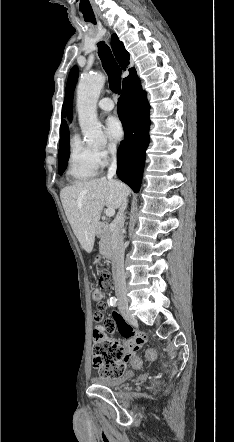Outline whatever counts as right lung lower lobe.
Here are the masks:
<instances>
[{
    "label": "right lung lower lobe",
    "instance_id": "1",
    "mask_svg": "<svg viewBox=\"0 0 234 442\" xmlns=\"http://www.w3.org/2000/svg\"><path fill=\"white\" fill-rule=\"evenodd\" d=\"M117 107L125 132L117 152V175L138 192L149 144L150 106L137 74L123 81Z\"/></svg>",
    "mask_w": 234,
    "mask_h": 442
}]
</instances>
